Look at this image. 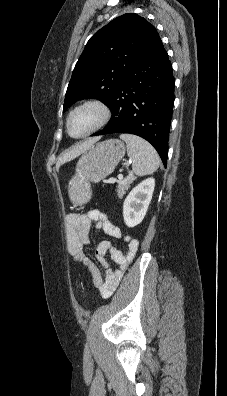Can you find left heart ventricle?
Here are the masks:
<instances>
[{"instance_id":"left-heart-ventricle-1","label":"left heart ventricle","mask_w":227,"mask_h":396,"mask_svg":"<svg viewBox=\"0 0 227 396\" xmlns=\"http://www.w3.org/2000/svg\"><path fill=\"white\" fill-rule=\"evenodd\" d=\"M98 112L94 109H85L75 113L69 123L73 136H80L87 132L97 121Z\"/></svg>"}]
</instances>
